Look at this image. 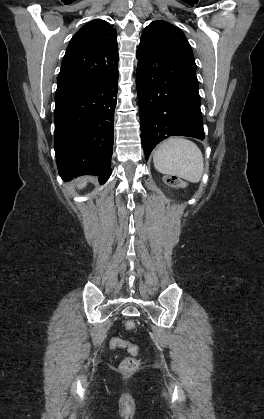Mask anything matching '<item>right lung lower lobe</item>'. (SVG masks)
Instances as JSON below:
<instances>
[{
    "mask_svg": "<svg viewBox=\"0 0 264 419\" xmlns=\"http://www.w3.org/2000/svg\"><path fill=\"white\" fill-rule=\"evenodd\" d=\"M118 72L108 79L55 95L54 149L58 172L64 181L80 175H111L114 110Z\"/></svg>",
    "mask_w": 264,
    "mask_h": 419,
    "instance_id": "obj_1",
    "label": "right lung lower lobe"
}]
</instances>
